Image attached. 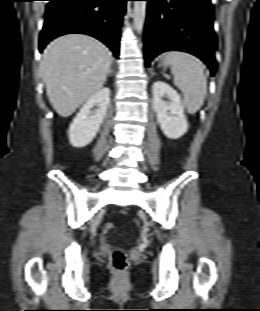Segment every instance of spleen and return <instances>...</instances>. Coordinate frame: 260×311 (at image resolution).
Masks as SVG:
<instances>
[{"label": "spleen", "mask_w": 260, "mask_h": 311, "mask_svg": "<svg viewBox=\"0 0 260 311\" xmlns=\"http://www.w3.org/2000/svg\"><path fill=\"white\" fill-rule=\"evenodd\" d=\"M165 61L172 67L174 84L184 95V106L188 113L195 114L203 105L207 90L202 63L195 56L179 51L168 52Z\"/></svg>", "instance_id": "1"}]
</instances>
